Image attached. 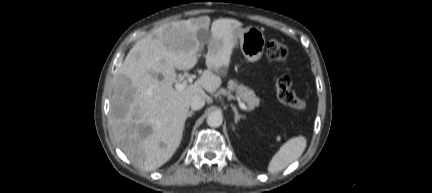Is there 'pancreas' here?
Segmentation results:
<instances>
[{"label": "pancreas", "instance_id": "1", "mask_svg": "<svg viewBox=\"0 0 432 193\" xmlns=\"http://www.w3.org/2000/svg\"><path fill=\"white\" fill-rule=\"evenodd\" d=\"M227 88L229 91H234L237 98L245 102L248 105L249 109H254L255 107L259 106L260 98H258L254 91L250 88L239 84L235 80H230L228 82Z\"/></svg>", "mask_w": 432, "mask_h": 193}]
</instances>
